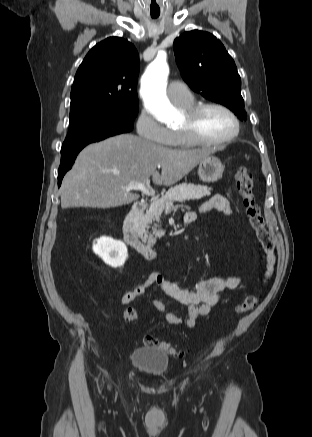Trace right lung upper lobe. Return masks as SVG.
<instances>
[{
	"instance_id": "obj_1",
	"label": "right lung upper lobe",
	"mask_w": 312,
	"mask_h": 437,
	"mask_svg": "<svg viewBox=\"0 0 312 437\" xmlns=\"http://www.w3.org/2000/svg\"><path fill=\"white\" fill-rule=\"evenodd\" d=\"M139 56L120 37L96 44L79 66L71 89V107L86 103L135 104Z\"/></svg>"
}]
</instances>
